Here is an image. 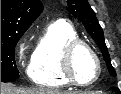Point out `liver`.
Segmentation results:
<instances>
[{"mask_svg": "<svg viewBox=\"0 0 121 94\" xmlns=\"http://www.w3.org/2000/svg\"><path fill=\"white\" fill-rule=\"evenodd\" d=\"M1 94H68L61 91L49 89H24L17 88L12 84L1 83Z\"/></svg>", "mask_w": 121, "mask_h": 94, "instance_id": "6515ba94", "label": "liver"}]
</instances>
